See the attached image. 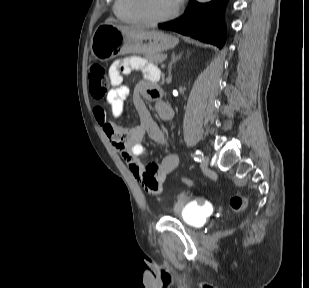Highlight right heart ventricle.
<instances>
[{"mask_svg": "<svg viewBox=\"0 0 309 288\" xmlns=\"http://www.w3.org/2000/svg\"><path fill=\"white\" fill-rule=\"evenodd\" d=\"M133 0H115L113 11L115 16L127 24H141L143 21L136 14Z\"/></svg>", "mask_w": 309, "mask_h": 288, "instance_id": "obj_1", "label": "right heart ventricle"}]
</instances>
